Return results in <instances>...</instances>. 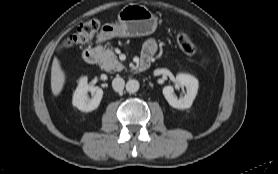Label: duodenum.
Segmentation results:
<instances>
[{
	"mask_svg": "<svg viewBox=\"0 0 278 174\" xmlns=\"http://www.w3.org/2000/svg\"><path fill=\"white\" fill-rule=\"evenodd\" d=\"M100 49L98 46L93 48H88L83 53V58L88 64H95L99 59ZM150 66V59L143 58L137 66L139 71H145Z\"/></svg>",
	"mask_w": 278,
	"mask_h": 174,
	"instance_id": "410a0bca",
	"label": "duodenum"
}]
</instances>
